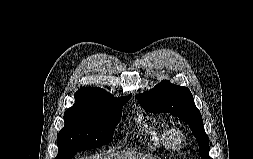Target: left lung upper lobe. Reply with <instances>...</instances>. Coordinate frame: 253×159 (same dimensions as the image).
Listing matches in <instances>:
<instances>
[{
	"instance_id": "5c2ea615",
	"label": "left lung upper lobe",
	"mask_w": 253,
	"mask_h": 159,
	"mask_svg": "<svg viewBox=\"0 0 253 159\" xmlns=\"http://www.w3.org/2000/svg\"><path fill=\"white\" fill-rule=\"evenodd\" d=\"M136 98L147 111L168 112L190 124L199 143L201 159H212L209 156V138L204 131L202 116L188 88L163 81L143 94H136Z\"/></svg>"
}]
</instances>
